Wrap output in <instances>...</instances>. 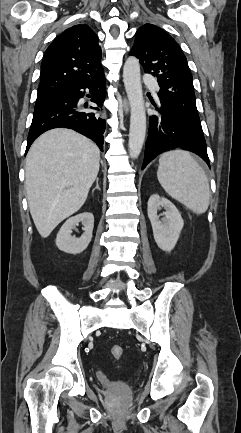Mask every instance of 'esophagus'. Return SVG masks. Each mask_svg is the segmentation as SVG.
<instances>
[{"mask_svg": "<svg viewBox=\"0 0 241 433\" xmlns=\"http://www.w3.org/2000/svg\"><path fill=\"white\" fill-rule=\"evenodd\" d=\"M123 109L126 114L129 112V103L126 98H123Z\"/></svg>", "mask_w": 241, "mask_h": 433, "instance_id": "34e87169", "label": "esophagus"}]
</instances>
